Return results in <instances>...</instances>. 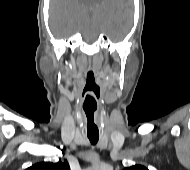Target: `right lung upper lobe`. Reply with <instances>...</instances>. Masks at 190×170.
I'll return each instance as SVG.
<instances>
[{
    "instance_id": "right-lung-upper-lobe-1",
    "label": "right lung upper lobe",
    "mask_w": 190,
    "mask_h": 170,
    "mask_svg": "<svg viewBox=\"0 0 190 170\" xmlns=\"http://www.w3.org/2000/svg\"><path fill=\"white\" fill-rule=\"evenodd\" d=\"M26 170H70V166L66 160L64 162L59 161L57 163L42 162L34 164Z\"/></svg>"
}]
</instances>
